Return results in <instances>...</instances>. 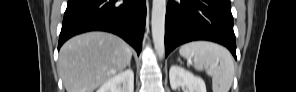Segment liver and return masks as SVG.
Masks as SVG:
<instances>
[{"mask_svg": "<svg viewBox=\"0 0 296 92\" xmlns=\"http://www.w3.org/2000/svg\"><path fill=\"white\" fill-rule=\"evenodd\" d=\"M131 57L129 45L120 37L89 32L61 47L57 68L67 92H93L123 70Z\"/></svg>", "mask_w": 296, "mask_h": 92, "instance_id": "liver-1", "label": "liver"}]
</instances>
